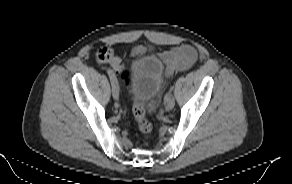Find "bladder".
I'll list each match as a JSON object with an SVG mask.
<instances>
[{
  "label": "bladder",
  "instance_id": "31cf9c89",
  "mask_svg": "<svg viewBox=\"0 0 292 184\" xmlns=\"http://www.w3.org/2000/svg\"><path fill=\"white\" fill-rule=\"evenodd\" d=\"M130 96L142 104H153L162 86V64L152 56L137 59L127 71Z\"/></svg>",
  "mask_w": 292,
  "mask_h": 184
}]
</instances>
